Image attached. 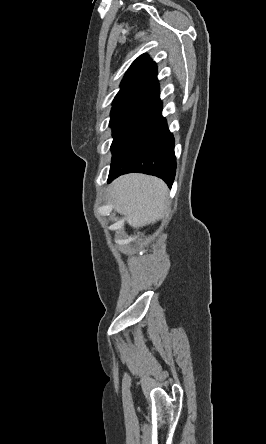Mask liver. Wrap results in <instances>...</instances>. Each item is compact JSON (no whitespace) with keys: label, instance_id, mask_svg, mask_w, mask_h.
Returning <instances> with one entry per match:
<instances>
[{"label":"liver","instance_id":"6515ba94","mask_svg":"<svg viewBox=\"0 0 266 444\" xmlns=\"http://www.w3.org/2000/svg\"><path fill=\"white\" fill-rule=\"evenodd\" d=\"M167 186L159 178L144 174H127L116 179L110 189L114 209L123 214L127 223L142 227L164 215Z\"/></svg>","mask_w":266,"mask_h":444}]
</instances>
